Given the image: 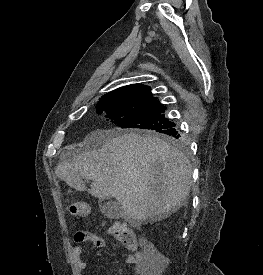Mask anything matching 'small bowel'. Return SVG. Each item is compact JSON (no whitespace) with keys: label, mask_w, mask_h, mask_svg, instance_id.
Instances as JSON below:
<instances>
[{"label":"small bowel","mask_w":263,"mask_h":275,"mask_svg":"<svg viewBox=\"0 0 263 275\" xmlns=\"http://www.w3.org/2000/svg\"><path fill=\"white\" fill-rule=\"evenodd\" d=\"M74 241L76 245L72 248L73 262L80 271L86 273L88 271V264L82 259V247L80 243L90 242L96 248H103L106 245L105 240L97 234L78 230L74 234ZM127 263L135 267L136 275H141V265L134 256H129L127 258Z\"/></svg>","instance_id":"small-bowel-1"}]
</instances>
